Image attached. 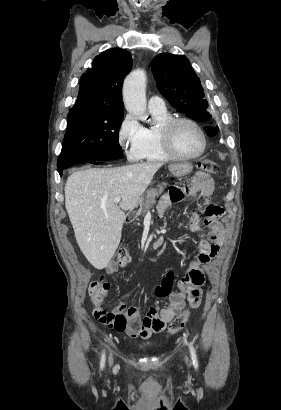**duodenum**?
<instances>
[{"label":"duodenum","instance_id":"obj_1","mask_svg":"<svg viewBox=\"0 0 281 410\" xmlns=\"http://www.w3.org/2000/svg\"><path fill=\"white\" fill-rule=\"evenodd\" d=\"M135 217H136V211L134 209H131L126 214V221L130 222L134 220Z\"/></svg>","mask_w":281,"mask_h":410}]
</instances>
